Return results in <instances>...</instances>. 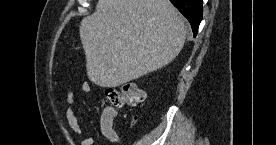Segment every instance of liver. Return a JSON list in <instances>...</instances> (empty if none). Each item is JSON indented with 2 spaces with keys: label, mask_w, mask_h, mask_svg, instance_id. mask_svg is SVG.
Returning a JSON list of instances; mask_svg holds the SVG:
<instances>
[{
  "label": "liver",
  "mask_w": 276,
  "mask_h": 145,
  "mask_svg": "<svg viewBox=\"0 0 276 145\" xmlns=\"http://www.w3.org/2000/svg\"><path fill=\"white\" fill-rule=\"evenodd\" d=\"M79 33L88 78L105 88L166 66L186 39L184 19L169 0H99Z\"/></svg>",
  "instance_id": "6515ba94"
}]
</instances>
